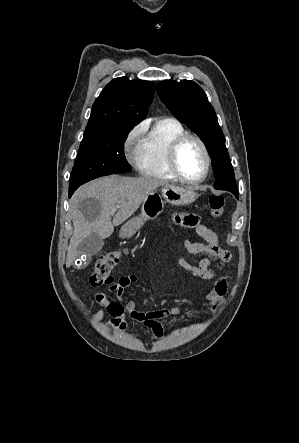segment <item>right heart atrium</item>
I'll use <instances>...</instances> for the list:
<instances>
[{
	"label": "right heart atrium",
	"mask_w": 299,
	"mask_h": 443,
	"mask_svg": "<svg viewBox=\"0 0 299 443\" xmlns=\"http://www.w3.org/2000/svg\"><path fill=\"white\" fill-rule=\"evenodd\" d=\"M145 128V124L143 123L135 125L129 130L123 141V151L128 161L134 166H138L140 145Z\"/></svg>",
	"instance_id": "1"
}]
</instances>
